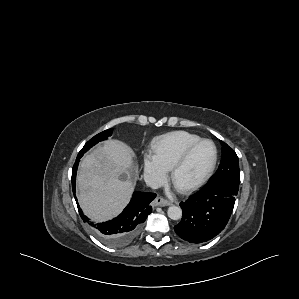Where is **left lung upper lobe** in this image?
Returning <instances> with one entry per match:
<instances>
[{
  "label": "left lung upper lobe",
  "mask_w": 299,
  "mask_h": 299,
  "mask_svg": "<svg viewBox=\"0 0 299 299\" xmlns=\"http://www.w3.org/2000/svg\"><path fill=\"white\" fill-rule=\"evenodd\" d=\"M222 143V157L217 172L208 183L227 182L239 186V161L236 153L226 143Z\"/></svg>",
  "instance_id": "5c2ea615"
}]
</instances>
